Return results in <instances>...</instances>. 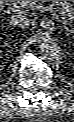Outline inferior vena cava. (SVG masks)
Returning a JSON list of instances; mask_svg holds the SVG:
<instances>
[{
	"instance_id": "602c4592",
	"label": "inferior vena cava",
	"mask_w": 74,
	"mask_h": 122,
	"mask_svg": "<svg viewBox=\"0 0 74 122\" xmlns=\"http://www.w3.org/2000/svg\"><path fill=\"white\" fill-rule=\"evenodd\" d=\"M9 23L13 27H16L19 29H24L29 26L30 21H29L28 17H26L25 15L15 14L10 17Z\"/></svg>"
}]
</instances>
